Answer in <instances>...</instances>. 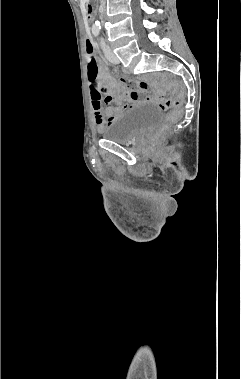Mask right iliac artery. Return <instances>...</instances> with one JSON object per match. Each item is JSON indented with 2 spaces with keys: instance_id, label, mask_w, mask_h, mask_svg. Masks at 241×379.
Instances as JSON below:
<instances>
[{
  "instance_id": "obj_1",
  "label": "right iliac artery",
  "mask_w": 241,
  "mask_h": 379,
  "mask_svg": "<svg viewBox=\"0 0 241 379\" xmlns=\"http://www.w3.org/2000/svg\"><path fill=\"white\" fill-rule=\"evenodd\" d=\"M99 32H100V28L95 27V28L92 29V33H93L94 36H98Z\"/></svg>"
}]
</instances>
